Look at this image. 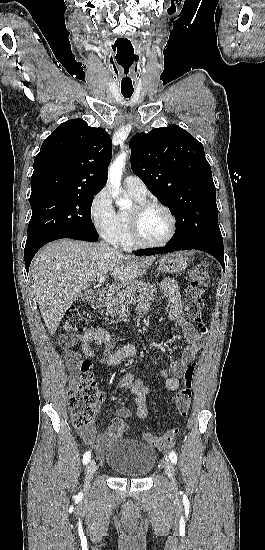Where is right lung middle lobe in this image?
<instances>
[{"label":"right lung middle lobe","mask_w":265,"mask_h":550,"mask_svg":"<svg viewBox=\"0 0 265 550\" xmlns=\"http://www.w3.org/2000/svg\"><path fill=\"white\" fill-rule=\"evenodd\" d=\"M94 195L51 190L32 192V217L28 225L24 252L31 251L64 233L99 237L90 212Z\"/></svg>","instance_id":"right-lung-middle-lobe-1"}]
</instances>
